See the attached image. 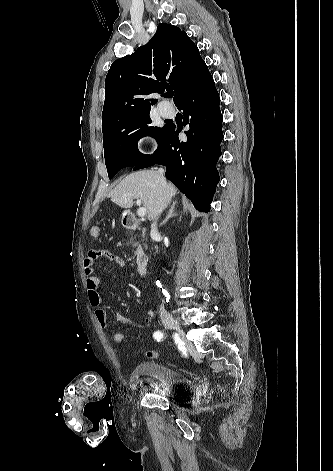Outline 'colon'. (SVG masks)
Listing matches in <instances>:
<instances>
[{"label":"colon","instance_id":"5ec220e1","mask_svg":"<svg viewBox=\"0 0 333 471\" xmlns=\"http://www.w3.org/2000/svg\"><path fill=\"white\" fill-rule=\"evenodd\" d=\"M90 233L93 237H99L101 233V228L98 225H93L90 229ZM126 336L123 332L117 331L113 334V341L116 345H123L125 342ZM146 357L149 359H155L158 357V353L154 350H149L146 352Z\"/></svg>","mask_w":333,"mask_h":471}]
</instances>
